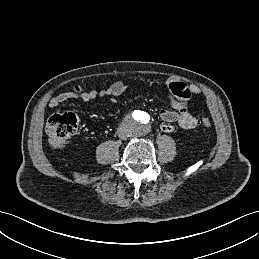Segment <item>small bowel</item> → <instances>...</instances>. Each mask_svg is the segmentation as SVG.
<instances>
[{
    "mask_svg": "<svg viewBox=\"0 0 259 259\" xmlns=\"http://www.w3.org/2000/svg\"><path fill=\"white\" fill-rule=\"evenodd\" d=\"M170 92L174 96L171 100L172 109H162L159 112L162 121L160 128L165 133L174 131V124H178L183 129H193L197 126L198 120L188 111V101L192 94H199L201 91L195 85H187L182 81L168 79L165 82ZM126 90V85L122 81L112 83L103 90L91 89L84 91L80 86H74L72 90L60 93L51 98V107H58L67 101L75 100L83 103L91 102L97 97L112 98L122 95Z\"/></svg>",
    "mask_w": 259,
    "mask_h": 259,
    "instance_id": "small-bowel-1",
    "label": "small bowel"
}]
</instances>
